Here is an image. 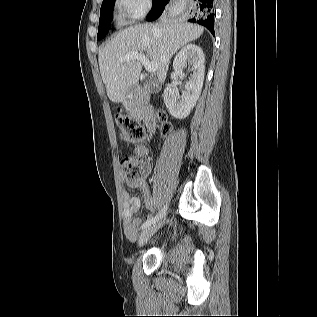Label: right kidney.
Segmentation results:
<instances>
[{"mask_svg": "<svg viewBox=\"0 0 317 317\" xmlns=\"http://www.w3.org/2000/svg\"><path fill=\"white\" fill-rule=\"evenodd\" d=\"M205 58L202 49L195 44L184 46L175 56L173 61L172 80L177 83L179 77L184 75L183 69L185 65L191 64L189 81L186 82L185 92L180 96L178 89L167 87L164 91V103L168 108L169 113L177 118H186L190 111L196 105L201 94L204 81V66Z\"/></svg>", "mask_w": 317, "mask_h": 317, "instance_id": "obj_1", "label": "right kidney"}]
</instances>
